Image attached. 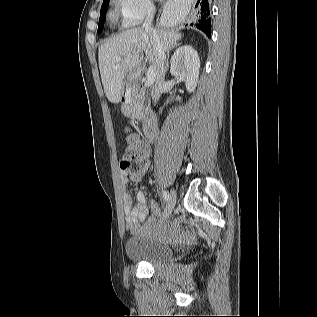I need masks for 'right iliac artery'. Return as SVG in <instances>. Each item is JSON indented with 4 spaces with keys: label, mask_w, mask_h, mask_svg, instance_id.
<instances>
[{
    "label": "right iliac artery",
    "mask_w": 317,
    "mask_h": 317,
    "mask_svg": "<svg viewBox=\"0 0 317 317\" xmlns=\"http://www.w3.org/2000/svg\"><path fill=\"white\" fill-rule=\"evenodd\" d=\"M162 196H163V198H164V200H165L166 202L169 201L170 195H169V193H168L167 191H162Z\"/></svg>",
    "instance_id": "right-iliac-artery-1"
}]
</instances>
